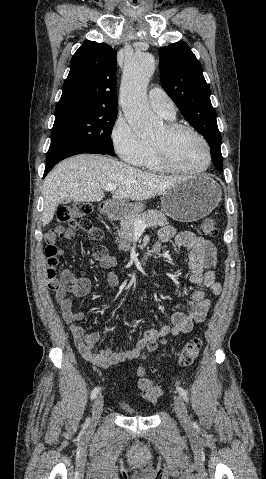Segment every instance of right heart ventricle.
I'll use <instances>...</instances> for the list:
<instances>
[{"label":"right heart ventricle","instance_id":"obj_1","mask_svg":"<svg viewBox=\"0 0 266 479\" xmlns=\"http://www.w3.org/2000/svg\"><path fill=\"white\" fill-rule=\"evenodd\" d=\"M143 170L148 171V172H162L163 169L161 166L158 164V162L155 159L154 152L152 147L150 146L148 154L145 156V158L138 164Z\"/></svg>","mask_w":266,"mask_h":479}]
</instances>
